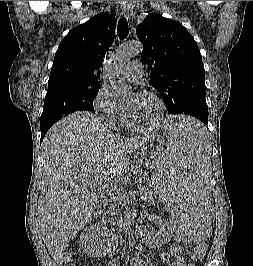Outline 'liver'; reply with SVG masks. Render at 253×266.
Instances as JSON below:
<instances>
[{"label": "liver", "instance_id": "1", "mask_svg": "<svg viewBox=\"0 0 253 266\" xmlns=\"http://www.w3.org/2000/svg\"><path fill=\"white\" fill-rule=\"evenodd\" d=\"M149 139L113 134L93 114L75 112L58 121L42 142L44 173L39 197V227L53 259L64 252L90 222L98 203L89 190L95 178L120 182L129 166L128 154Z\"/></svg>", "mask_w": 253, "mask_h": 266}]
</instances>
